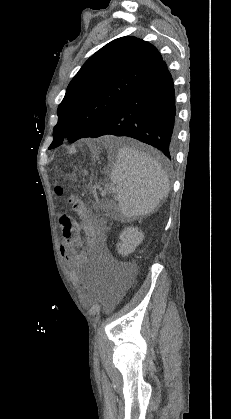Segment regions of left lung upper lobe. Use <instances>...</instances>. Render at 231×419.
Here are the masks:
<instances>
[{"instance_id":"left-lung-upper-lobe-1","label":"left lung upper lobe","mask_w":231,"mask_h":419,"mask_svg":"<svg viewBox=\"0 0 231 419\" xmlns=\"http://www.w3.org/2000/svg\"><path fill=\"white\" fill-rule=\"evenodd\" d=\"M162 61L153 45L135 37H121L102 47L68 85L49 149L60 146L63 137L71 143L90 137Z\"/></svg>"}]
</instances>
